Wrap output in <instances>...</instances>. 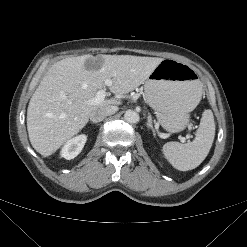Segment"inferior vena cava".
I'll list each match as a JSON object with an SVG mask.
<instances>
[{
  "label": "inferior vena cava",
  "instance_id": "obj_1",
  "mask_svg": "<svg viewBox=\"0 0 247 247\" xmlns=\"http://www.w3.org/2000/svg\"><path fill=\"white\" fill-rule=\"evenodd\" d=\"M118 108L116 106H111L106 109L95 110L90 114V120L93 123L101 122L105 117L114 114Z\"/></svg>",
  "mask_w": 247,
  "mask_h": 247
}]
</instances>
